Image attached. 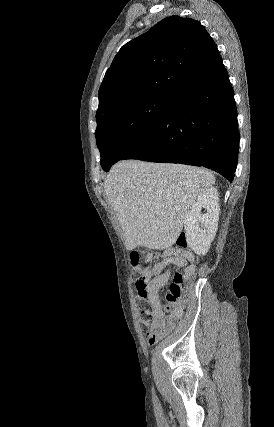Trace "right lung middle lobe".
Instances as JSON below:
<instances>
[{
  "label": "right lung middle lobe",
  "instance_id": "right-lung-middle-lobe-1",
  "mask_svg": "<svg viewBox=\"0 0 274 427\" xmlns=\"http://www.w3.org/2000/svg\"><path fill=\"white\" fill-rule=\"evenodd\" d=\"M176 96L152 94L120 101L96 116L102 168L121 160L160 121Z\"/></svg>",
  "mask_w": 274,
  "mask_h": 427
}]
</instances>
